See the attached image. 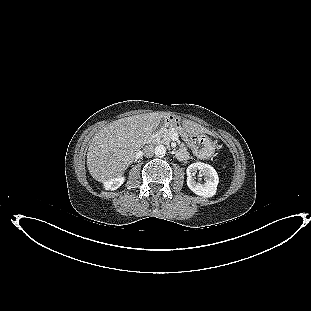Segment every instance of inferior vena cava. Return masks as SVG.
Segmentation results:
<instances>
[{"label":"inferior vena cava","mask_w":311,"mask_h":311,"mask_svg":"<svg viewBox=\"0 0 311 311\" xmlns=\"http://www.w3.org/2000/svg\"><path fill=\"white\" fill-rule=\"evenodd\" d=\"M143 151L146 157H152L154 155V146L152 144H148L144 147Z\"/></svg>","instance_id":"inferior-vena-cava-1"}]
</instances>
